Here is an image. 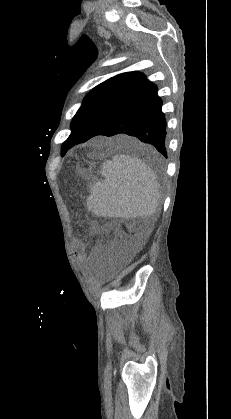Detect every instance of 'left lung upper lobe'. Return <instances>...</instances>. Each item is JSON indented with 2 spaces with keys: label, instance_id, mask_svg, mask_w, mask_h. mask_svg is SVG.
<instances>
[{
  "label": "left lung upper lobe",
  "instance_id": "left-lung-upper-lobe-1",
  "mask_svg": "<svg viewBox=\"0 0 231 419\" xmlns=\"http://www.w3.org/2000/svg\"><path fill=\"white\" fill-rule=\"evenodd\" d=\"M146 79L140 72L118 74L99 84L88 93L71 122V134L63 143L64 155L81 143L91 130L116 106L127 99Z\"/></svg>",
  "mask_w": 231,
  "mask_h": 419
}]
</instances>
